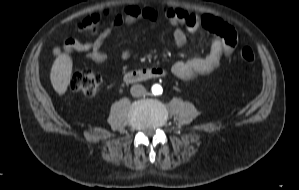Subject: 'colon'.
<instances>
[{
    "label": "colon",
    "instance_id": "colon-1",
    "mask_svg": "<svg viewBox=\"0 0 299 190\" xmlns=\"http://www.w3.org/2000/svg\"><path fill=\"white\" fill-rule=\"evenodd\" d=\"M202 25L209 23V19L203 17ZM101 24V17L92 16L87 21L83 22L78 30L81 33H95ZM241 59L245 63H253L255 54L250 47H244L240 53ZM71 87L74 90L82 92L86 96H95L98 93L100 86V77L90 69H81L74 73L70 81Z\"/></svg>",
    "mask_w": 299,
    "mask_h": 190
}]
</instances>
